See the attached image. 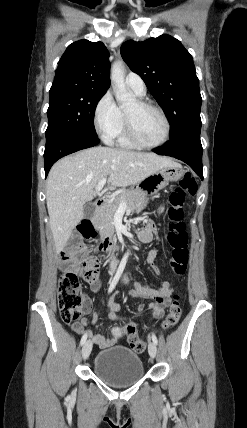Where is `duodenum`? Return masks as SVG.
I'll return each instance as SVG.
<instances>
[{"label": "duodenum", "mask_w": 247, "mask_h": 428, "mask_svg": "<svg viewBox=\"0 0 247 428\" xmlns=\"http://www.w3.org/2000/svg\"><path fill=\"white\" fill-rule=\"evenodd\" d=\"M95 203L97 207H100L105 203V200L103 198H99L96 200ZM118 247H119L118 241L112 237H105L99 245V248L103 251H113Z\"/></svg>", "instance_id": "1"}]
</instances>
